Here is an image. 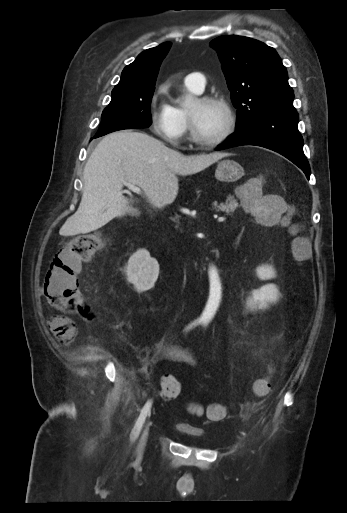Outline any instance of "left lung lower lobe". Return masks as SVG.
Wrapping results in <instances>:
<instances>
[{
    "mask_svg": "<svg viewBox=\"0 0 347 513\" xmlns=\"http://www.w3.org/2000/svg\"><path fill=\"white\" fill-rule=\"evenodd\" d=\"M298 118L296 111L265 114L236 130L217 150L241 145L265 147L288 158L309 179L310 167L303 152V138L297 128Z\"/></svg>",
    "mask_w": 347,
    "mask_h": 513,
    "instance_id": "0a47b994",
    "label": "left lung lower lobe"
}]
</instances>
